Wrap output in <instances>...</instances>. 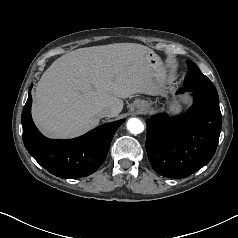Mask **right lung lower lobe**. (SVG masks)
Masks as SVG:
<instances>
[{
  "instance_id": "right-lung-lower-lobe-1",
  "label": "right lung lower lobe",
  "mask_w": 238,
  "mask_h": 238,
  "mask_svg": "<svg viewBox=\"0 0 238 238\" xmlns=\"http://www.w3.org/2000/svg\"><path fill=\"white\" fill-rule=\"evenodd\" d=\"M31 104L29 94L22 112L24 145L42 167L60 178H79L95 172L107 156L114 133L124 122L101 125L75 139L53 140L44 137L35 127Z\"/></svg>"
}]
</instances>
